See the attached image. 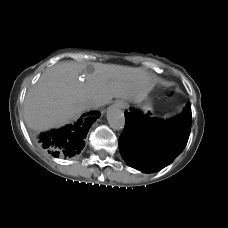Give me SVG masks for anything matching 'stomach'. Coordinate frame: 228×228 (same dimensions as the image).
<instances>
[{
	"label": "stomach",
	"mask_w": 228,
	"mask_h": 228,
	"mask_svg": "<svg viewBox=\"0 0 228 228\" xmlns=\"http://www.w3.org/2000/svg\"><path fill=\"white\" fill-rule=\"evenodd\" d=\"M144 109H145V111H151V107H150V103H149V101H146V103L144 104Z\"/></svg>",
	"instance_id": "obj_1"
}]
</instances>
